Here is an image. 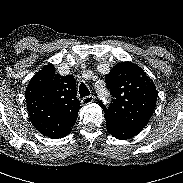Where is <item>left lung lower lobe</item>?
I'll return each instance as SVG.
<instances>
[{
  "instance_id": "left-lung-lower-lobe-1",
  "label": "left lung lower lobe",
  "mask_w": 183,
  "mask_h": 183,
  "mask_svg": "<svg viewBox=\"0 0 183 183\" xmlns=\"http://www.w3.org/2000/svg\"><path fill=\"white\" fill-rule=\"evenodd\" d=\"M105 119L108 131L112 136L120 140L129 139L137 135L144 128L140 125H131L107 117Z\"/></svg>"
}]
</instances>
